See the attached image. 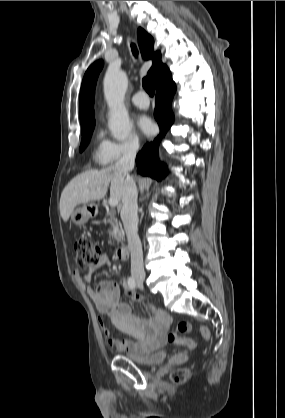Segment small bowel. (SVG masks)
<instances>
[{
  "mask_svg": "<svg viewBox=\"0 0 285 418\" xmlns=\"http://www.w3.org/2000/svg\"><path fill=\"white\" fill-rule=\"evenodd\" d=\"M111 261L106 254H101L97 262L88 266L87 273H77L79 280L86 286L87 292L92 299L98 313V322L103 333L109 338L111 348L118 351L147 352L161 348L167 342V332L172 325V318L165 312L155 309L151 305H145L150 313L148 318L143 317L139 312L131 310L129 304L124 301L123 295L131 297L128 292V279H122L120 284L113 281H102L95 288L89 283L93 272L104 266H110ZM107 317L110 324L122 332L141 339L140 344L129 341L110 338V329L104 319ZM147 340H143L144 337ZM190 340L189 349L196 347L195 341Z\"/></svg>",
  "mask_w": 285,
  "mask_h": 418,
  "instance_id": "small-bowel-1",
  "label": "small bowel"
}]
</instances>
